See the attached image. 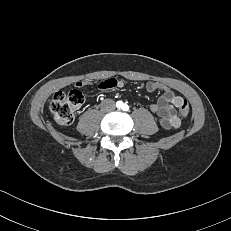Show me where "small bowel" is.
Masks as SVG:
<instances>
[{
  "instance_id": "obj_1",
  "label": "small bowel",
  "mask_w": 231,
  "mask_h": 231,
  "mask_svg": "<svg viewBox=\"0 0 231 231\" xmlns=\"http://www.w3.org/2000/svg\"><path fill=\"white\" fill-rule=\"evenodd\" d=\"M77 87L87 85V82H78ZM125 83L122 80L113 78L106 79L100 83V87L105 90L114 88H123ZM146 89L149 92L162 90V94L156 104L150 105V111L158 116L160 125L165 129L179 128L181 119L177 115L176 109H179L180 104L183 102L181 96L176 95L171 89L156 81H149L146 83Z\"/></svg>"
}]
</instances>
